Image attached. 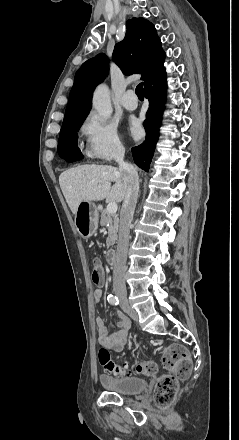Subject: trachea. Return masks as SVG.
<instances>
[{
  "label": "trachea",
  "mask_w": 239,
  "mask_h": 440,
  "mask_svg": "<svg viewBox=\"0 0 239 440\" xmlns=\"http://www.w3.org/2000/svg\"><path fill=\"white\" fill-rule=\"evenodd\" d=\"M135 93L137 95V97L139 99H143L144 98V93H143V83H139V85H137L136 89H135Z\"/></svg>",
  "instance_id": "trachea-1"
}]
</instances>
